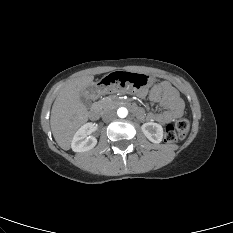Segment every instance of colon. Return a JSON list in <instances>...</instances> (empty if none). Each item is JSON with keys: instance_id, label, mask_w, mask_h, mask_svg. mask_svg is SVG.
<instances>
[{"instance_id": "colon-1", "label": "colon", "mask_w": 233, "mask_h": 233, "mask_svg": "<svg viewBox=\"0 0 233 233\" xmlns=\"http://www.w3.org/2000/svg\"><path fill=\"white\" fill-rule=\"evenodd\" d=\"M189 121L187 119H179L174 124L168 125L165 129V141L175 143L183 139L189 131Z\"/></svg>"}]
</instances>
